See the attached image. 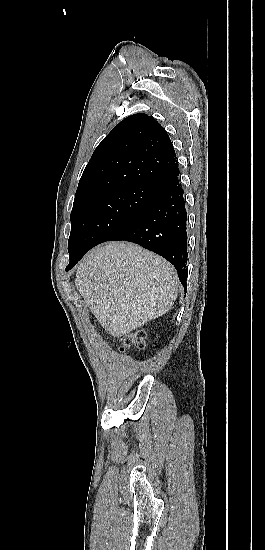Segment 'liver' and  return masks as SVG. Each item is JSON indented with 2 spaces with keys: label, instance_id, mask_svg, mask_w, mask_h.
Masks as SVG:
<instances>
[{
  "label": "liver",
  "instance_id": "6515ba94",
  "mask_svg": "<svg viewBox=\"0 0 265 550\" xmlns=\"http://www.w3.org/2000/svg\"><path fill=\"white\" fill-rule=\"evenodd\" d=\"M85 303L112 336H128L164 315L177 299L178 275L168 261L139 245L109 242L80 262L75 279Z\"/></svg>",
  "mask_w": 265,
  "mask_h": 550
}]
</instances>
